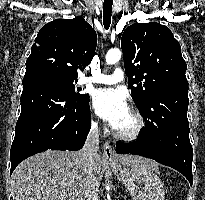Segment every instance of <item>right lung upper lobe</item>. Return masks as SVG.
Listing matches in <instances>:
<instances>
[{
  "mask_svg": "<svg viewBox=\"0 0 205 200\" xmlns=\"http://www.w3.org/2000/svg\"><path fill=\"white\" fill-rule=\"evenodd\" d=\"M96 45V32L83 17L53 20L35 38L23 80L48 74L77 80V71L90 64Z\"/></svg>",
  "mask_w": 205,
  "mask_h": 200,
  "instance_id": "right-lung-upper-lobe-1",
  "label": "right lung upper lobe"
}]
</instances>
